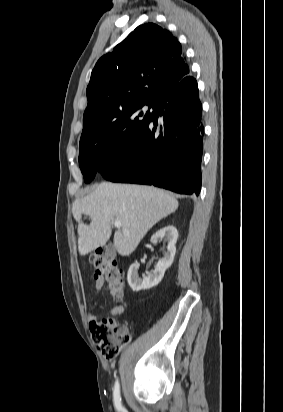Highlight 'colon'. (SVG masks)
<instances>
[{"label":"colon","mask_w":283,"mask_h":412,"mask_svg":"<svg viewBox=\"0 0 283 412\" xmlns=\"http://www.w3.org/2000/svg\"><path fill=\"white\" fill-rule=\"evenodd\" d=\"M95 267V276L103 278L109 284L114 296L119 299L123 293L124 274L117 263L110 259L102 250L91 255ZM94 343L101 354L108 359L116 357L130 341V336L124 327L112 318L95 321L90 325Z\"/></svg>","instance_id":"5ec220e1"}]
</instances>
